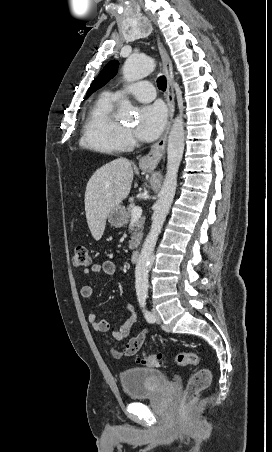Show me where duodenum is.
I'll return each mask as SVG.
<instances>
[{"mask_svg": "<svg viewBox=\"0 0 272 452\" xmlns=\"http://www.w3.org/2000/svg\"><path fill=\"white\" fill-rule=\"evenodd\" d=\"M138 258H139V250H138V249H134V250L131 252L130 259H131V261H132L133 263H135V262L138 261Z\"/></svg>", "mask_w": 272, "mask_h": 452, "instance_id": "duodenum-1", "label": "duodenum"}]
</instances>
